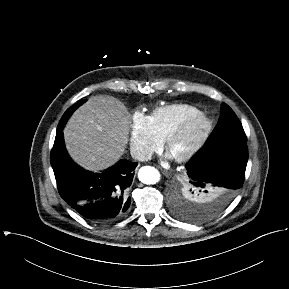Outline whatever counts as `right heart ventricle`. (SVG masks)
Masks as SVG:
<instances>
[{"label":"right heart ventricle","instance_id":"obj_1","mask_svg":"<svg viewBox=\"0 0 289 289\" xmlns=\"http://www.w3.org/2000/svg\"><path fill=\"white\" fill-rule=\"evenodd\" d=\"M198 112L194 105L175 103L155 108L149 119L155 134L164 141L186 118Z\"/></svg>","mask_w":289,"mask_h":289}]
</instances>
